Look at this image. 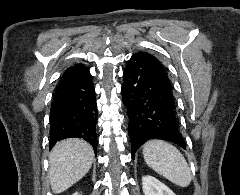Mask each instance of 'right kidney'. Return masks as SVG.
I'll use <instances>...</instances> for the list:
<instances>
[{"instance_id":"1","label":"right kidney","mask_w":240,"mask_h":195,"mask_svg":"<svg viewBox=\"0 0 240 195\" xmlns=\"http://www.w3.org/2000/svg\"><path fill=\"white\" fill-rule=\"evenodd\" d=\"M72 195H79V193H77V191H76V193H72Z\"/></svg>"}]
</instances>
